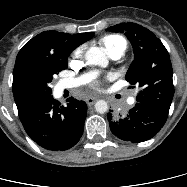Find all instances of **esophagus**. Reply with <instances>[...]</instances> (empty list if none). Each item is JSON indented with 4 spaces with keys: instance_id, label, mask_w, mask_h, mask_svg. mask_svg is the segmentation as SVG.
<instances>
[{
    "instance_id": "obj_1",
    "label": "esophagus",
    "mask_w": 187,
    "mask_h": 187,
    "mask_svg": "<svg viewBox=\"0 0 187 187\" xmlns=\"http://www.w3.org/2000/svg\"><path fill=\"white\" fill-rule=\"evenodd\" d=\"M96 100H97V98L89 97L86 99V103H87V105L91 106L95 103Z\"/></svg>"
}]
</instances>
